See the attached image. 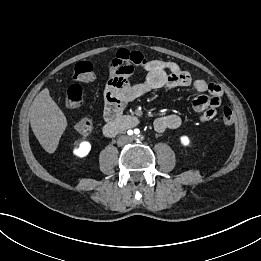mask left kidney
I'll return each instance as SVG.
<instances>
[{
    "mask_svg": "<svg viewBox=\"0 0 261 261\" xmlns=\"http://www.w3.org/2000/svg\"><path fill=\"white\" fill-rule=\"evenodd\" d=\"M180 141H181V144L184 146L190 145V139L188 136H181Z\"/></svg>",
    "mask_w": 261,
    "mask_h": 261,
    "instance_id": "1",
    "label": "left kidney"
}]
</instances>
